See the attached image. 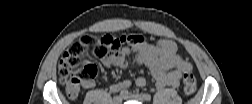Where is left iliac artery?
<instances>
[{
  "label": "left iliac artery",
  "mask_w": 252,
  "mask_h": 104,
  "mask_svg": "<svg viewBox=\"0 0 252 104\" xmlns=\"http://www.w3.org/2000/svg\"><path fill=\"white\" fill-rule=\"evenodd\" d=\"M143 99L145 100V101H150L151 100V96L149 95V94H143Z\"/></svg>",
  "instance_id": "left-iliac-artery-1"
}]
</instances>
